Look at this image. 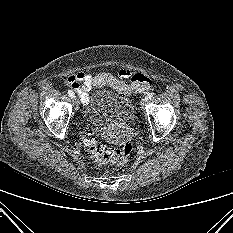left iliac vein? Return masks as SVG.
Masks as SVG:
<instances>
[{
	"mask_svg": "<svg viewBox=\"0 0 233 233\" xmlns=\"http://www.w3.org/2000/svg\"><path fill=\"white\" fill-rule=\"evenodd\" d=\"M148 100L149 99L146 96L141 100V102H140L141 108H143L145 106V104L148 102Z\"/></svg>",
	"mask_w": 233,
	"mask_h": 233,
	"instance_id": "1",
	"label": "left iliac vein"
}]
</instances>
